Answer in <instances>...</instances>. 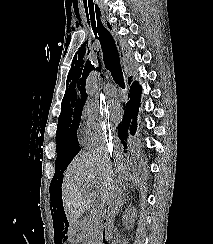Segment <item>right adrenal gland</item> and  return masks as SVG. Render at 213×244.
<instances>
[{
	"instance_id": "right-adrenal-gland-1",
	"label": "right adrenal gland",
	"mask_w": 213,
	"mask_h": 244,
	"mask_svg": "<svg viewBox=\"0 0 213 244\" xmlns=\"http://www.w3.org/2000/svg\"><path fill=\"white\" fill-rule=\"evenodd\" d=\"M126 190H125V188L123 189V192H125ZM125 193H123V201H122V203H124L125 201H126V198H125Z\"/></svg>"
}]
</instances>
